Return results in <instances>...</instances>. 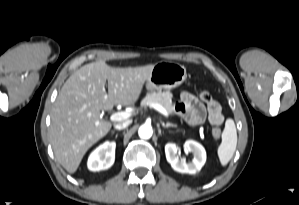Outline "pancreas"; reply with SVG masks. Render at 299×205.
<instances>
[{"mask_svg": "<svg viewBox=\"0 0 299 205\" xmlns=\"http://www.w3.org/2000/svg\"><path fill=\"white\" fill-rule=\"evenodd\" d=\"M172 97L173 95L169 91H157L149 93L145 96V98L142 100L141 105L142 106H150L153 103L162 105L169 114H174V107L172 103Z\"/></svg>", "mask_w": 299, "mask_h": 205, "instance_id": "pancreas-1", "label": "pancreas"}]
</instances>
